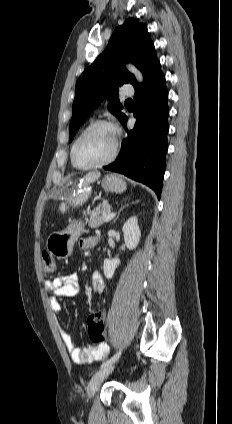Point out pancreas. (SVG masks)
<instances>
[{
  "label": "pancreas",
  "instance_id": "pancreas-1",
  "mask_svg": "<svg viewBox=\"0 0 232 424\" xmlns=\"http://www.w3.org/2000/svg\"><path fill=\"white\" fill-rule=\"evenodd\" d=\"M111 206L103 203L102 205H99L96 207L91 213L90 218L87 221L89 227L91 228H97L101 226L102 224L108 222L105 221V216L109 213H111Z\"/></svg>",
  "mask_w": 232,
  "mask_h": 424
}]
</instances>
